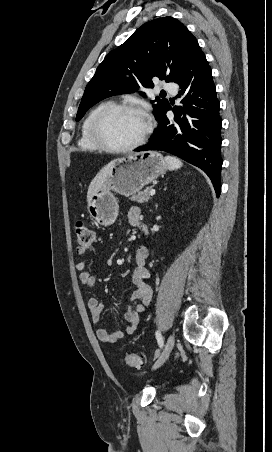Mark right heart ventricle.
Returning a JSON list of instances; mask_svg holds the SVG:
<instances>
[{"mask_svg":"<svg viewBox=\"0 0 272 452\" xmlns=\"http://www.w3.org/2000/svg\"><path fill=\"white\" fill-rule=\"evenodd\" d=\"M104 104H100L92 109L85 117L81 125L80 136L78 139V146L86 151H99L101 148L93 141L90 135V121L95 112Z\"/></svg>","mask_w":272,"mask_h":452,"instance_id":"1","label":"right heart ventricle"}]
</instances>
